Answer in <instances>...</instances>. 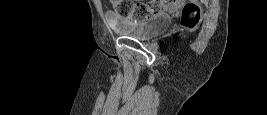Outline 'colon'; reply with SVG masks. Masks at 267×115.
<instances>
[{"label":"colon","mask_w":267,"mask_h":115,"mask_svg":"<svg viewBox=\"0 0 267 115\" xmlns=\"http://www.w3.org/2000/svg\"><path fill=\"white\" fill-rule=\"evenodd\" d=\"M117 12L125 18L136 21L147 18L150 15L161 13V6L156 3H134L131 0H117ZM200 18V8L193 4H185L181 10V23L184 26H195Z\"/></svg>","instance_id":"colon-1"}]
</instances>
